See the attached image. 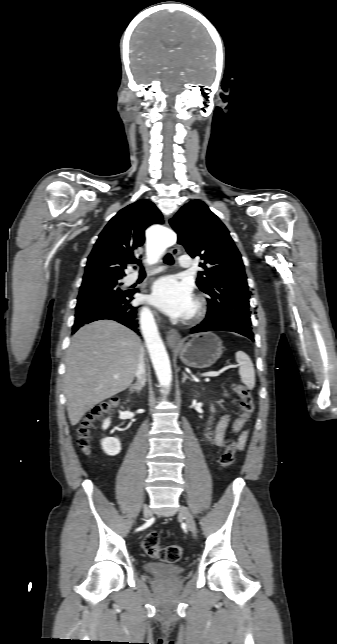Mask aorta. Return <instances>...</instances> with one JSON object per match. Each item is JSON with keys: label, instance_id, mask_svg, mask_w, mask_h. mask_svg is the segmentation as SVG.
<instances>
[{"label": "aorta", "instance_id": "1", "mask_svg": "<svg viewBox=\"0 0 337 644\" xmlns=\"http://www.w3.org/2000/svg\"><path fill=\"white\" fill-rule=\"evenodd\" d=\"M173 239L174 235L169 231H165L163 234L159 235L158 242L160 245L148 250L147 263H156L160 257L163 247ZM140 324L157 379L161 386L168 388L172 381L170 361L149 308H142L140 312Z\"/></svg>", "mask_w": 337, "mask_h": 644}]
</instances>
